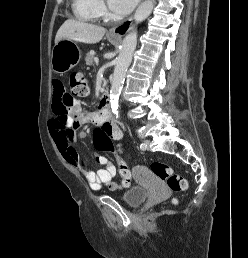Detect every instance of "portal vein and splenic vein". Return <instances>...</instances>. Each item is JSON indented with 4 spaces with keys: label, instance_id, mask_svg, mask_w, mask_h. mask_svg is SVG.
Here are the masks:
<instances>
[{
    "label": "portal vein and splenic vein",
    "instance_id": "1",
    "mask_svg": "<svg viewBox=\"0 0 248 258\" xmlns=\"http://www.w3.org/2000/svg\"><path fill=\"white\" fill-rule=\"evenodd\" d=\"M94 61H95L96 65L99 64V59H98V57H95Z\"/></svg>",
    "mask_w": 248,
    "mask_h": 258
}]
</instances>
